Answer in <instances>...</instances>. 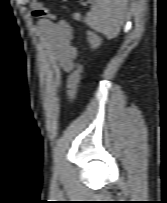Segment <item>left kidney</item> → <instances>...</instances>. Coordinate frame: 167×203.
Returning a JSON list of instances; mask_svg holds the SVG:
<instances>
[{
    "instance_id": "left-kidney-1",
    "label": "left kidney",
    "mask_w": 167,
    "mask_h": 203,
    "mask_svg": "<svg viewBox=\"0 0 167 203\" xmlns=\"http://www.w3.org/2000/svg\"><path fill=\"white\" fill-rule=\"evenodd\" d=\"M88 41L93 49H96L101 45V39L92 32H88Z\"/></svg>"
}]
</instances>
